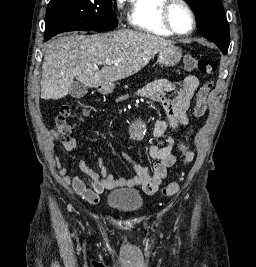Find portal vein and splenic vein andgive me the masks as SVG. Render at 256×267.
<instances>
[{
  "label": "portal vein and splenic vein",
  "mask_w": 256,
  "mask_h": 267,
  "mask_svg": "<svg viewBox=\"0 0 256 267\" xmlns=\"http://www.w3.org/2000/svg\"><path fill=\"white\" fill-rule=\"evenodd\" d=\"M99 64H111V62H108V60H103V62H99Z\"/></svg>",
  "instance_id": "1"
}]
</instances>
